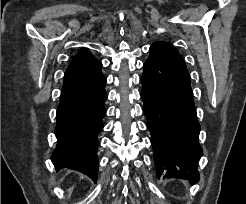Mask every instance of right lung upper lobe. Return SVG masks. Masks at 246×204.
I'll use <instances>...</instances> for the list:
<instances>
[{
	"mask_svg": "<svg viewBox=\"0 0 246 204\" xmlns=\"http://www.w3.org/2000/svg\"><path fill=\"white\" fill-rule=\"evenodd\" d=\"M90 60H97V59L94 58V56L86 49L81 50L74 59V61H90Z\"/></svg>",
	"mask_w": 246,
	"mask_h": 204,
	"instance_id": "obj_1",
	"label": "right lung upper lobe"
}]
</instances>
